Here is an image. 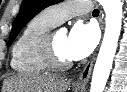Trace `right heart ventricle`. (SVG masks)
<instances>
[{
    "instance_id": "obj_1",
    "label": "right heart ventricle",
    "mask_w": 127,
    "mask_h": 92,
    "mask_svg": "<svg viewBox=\"0 0 127 92\" xmlns=\"http://www.w3.org/2000/svg\"><path fill=\"white\" fill-rule=\"evenodd\" d=\"M45 12L32 18L12 47L11 67L23 75H39L52 71L42 57V42L47 33L57 26Z\"/></svg>"
}]
</instances>
